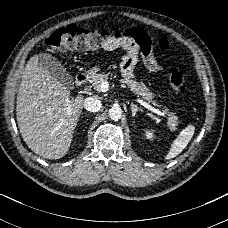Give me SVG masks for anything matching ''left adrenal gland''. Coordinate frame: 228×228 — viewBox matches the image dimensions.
<instances>
[{
    "label": "left adrenal gland",
    "mask_w": 228,
    "mask_h": 228,
    "mask_svg": "<svg viewBox=\"0 0 228 228\" xmlns=\"http://www.w3.org/2000/svg\"><path fill=\"white\" fill-rule=\"evenodd\" d=\"M128 104H130V106H131V110H132V119H133V121H135V118H136V116H137V112H141V109H139V108H137L135 105H134V103H128Z\"/></svg>",
    "instance_id": "obj_1"
}]
</instances>
